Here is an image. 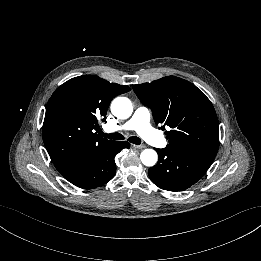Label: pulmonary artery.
Returning <instances> with one entry per match:
<instances>
[{"instance_id":"1","label":"pulmonary artery","mask_w":261,"mask_h":261,"mask_svg":"<svg viewBox=\"0 0 261 261\" xmlns=\"http://www.w3.org/2000/svg\"><path fill=\"white\" fill-rule=\"evenodd\" d=\"M150 120L151 112L145 106H139L130 119H128L123 125H116L110 128V130L117 131L121 129L135 130L143 139L156 144L157 146H166L167 141L155 139L150 134Z\"/></svg>"}]
</instances>
